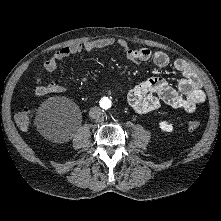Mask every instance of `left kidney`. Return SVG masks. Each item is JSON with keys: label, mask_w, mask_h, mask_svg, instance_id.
I'll use <instances>...</instances> for the list:
<instances>
[{"label": "left kidney", "mask_w": 221, "mask_h": 221, "mask_svg": "<svg viewBox=\"0 0 221 221\" xmlns=\"http://www.w3.org/2000/svg\"><path fill=\"white\" fill-rule=\"evenodd\" d=\"M159 127L164 132H172L173 131V125L169 123L168 121H161L159 123Z\"/></svg>", "instance_id": "1"}]
</instances>
